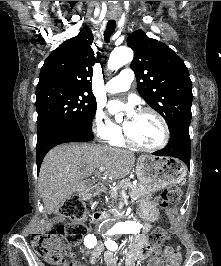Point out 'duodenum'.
Wrapping results in <instances>:
<instances>
[{"label": "duodenum", "mask_w": 221, "mask_h": 266, "mask_svg": "<svg viewBox=\"0 0 221 266\" xmlns=\"http://www.w3.org/2000/svg\"><path fill=\"white\" fill-rule=\"evenodd\" d=\"M101 194L102 191L101 190H98V191H94V190H89L86 195L87 196H90L92 194ZM117 211H121V208H117ZM107 216H116V215H119V212H116V211H107L106 213L104 211H95L91 214V222H98L102 219H104L105 217ZM121 215H126V212H121Z\"/></svg>", "instance_id": "obj_1"}]
</instances>
